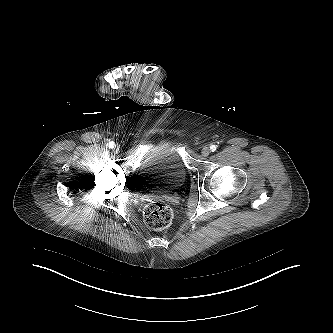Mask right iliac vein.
I'll list each match as a JSON object with an SVG mask.
<instances>
[{
    "label": "right iliac vein",
    "mask_w": 333,
    "mask_h": 333,
    "mask_svg": "<svg viewBox=\"0 0 333 333\" xmlns=\"http://www.w3.org/2000/svg\"><path fill=\"white\" fill-rule=\"evenodd\" d=\"M120 150V146L116 145L114 146V151L118 152Z\"/></svg>",
    "instance_id": "1"
}]
</instances>
